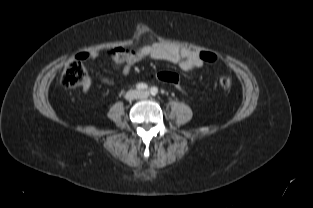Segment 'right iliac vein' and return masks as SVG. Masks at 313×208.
<instances>
[{
	"instance_id": "63e3f726",
	"label": "right iliac vein",
	"mask_w": 313,
	"mask_h": 208,
	"mask_svg": "<svg viewBox=\"0 0 313 208\" xmlns=\"http://www.w3.org/2000/svg\"><path fill=\"white\" fill-rule=\"evenodd\" d=\"M139 92L136 90H130L126 93L125 98L128 101H132L138 98Z\"/></svg>"
}]
</instances>
